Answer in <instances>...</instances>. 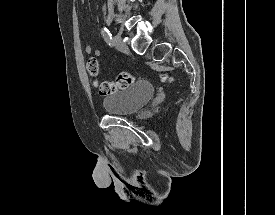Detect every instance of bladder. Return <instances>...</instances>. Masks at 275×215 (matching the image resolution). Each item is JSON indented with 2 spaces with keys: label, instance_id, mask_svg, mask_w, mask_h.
<instances>
[{
  "label": "bladder",
  "instance_id": "obj_1",
  "mask_svg": "<svg viewBox=\"0 0 275 215\" xmlns=\"http://www.w3.org/2000/svg\"><path fill=\"white\" fill-rule=\"evenodd\" d=\"M155 88L147 80H139L124 90L107 95L103 101L106 112L115 116H131L154 96Z\"/></svg>",
  "mask_w": 275,
  "mask_h": 215
}]
</instances>
